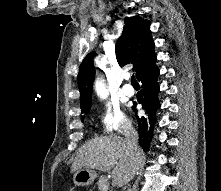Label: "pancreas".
Returning a JSON list of instances; mask_svg holds the SVG:
<instances>
[{
    "label": "pancreas",
    "instance_id": "obj_1",
    "mask_svg": "<svg viewBox=\"0 0 221 191\" xmlns=\"http://www.w3.org/2000/svg\"><path fill=\"white\" fill-rule=\"evenodd\" d=\"M98 189L99 191H105V186L108 185V179L106 176H100L99 181H98ZM107 191V190H106Z\"/></svg>",
    "mask_w": 221,
    "mask_h": 191
}]
</instances>
